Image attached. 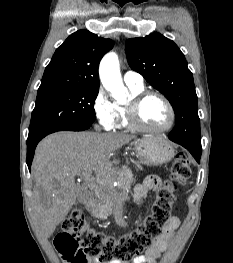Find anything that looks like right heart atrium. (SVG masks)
<instances>
[{
    "label": "right heart atrium",
    "mask_w": 233,
    "mask_h": 263,
    "mask_svg": "<svg viewBox=\"0 0 233 263\" xmlns=\"http://www.w3.org/2000/svg\"><path fill=\"white\" fill-rule=\"evenodd\" d=\"M93 111L101 125L106 131H113L118 126L119 117L115 104L109 99L103 87H99L93 99Z\"/></svg>",
    "instance_id": "d8ad5b80"
}]
</instances>
